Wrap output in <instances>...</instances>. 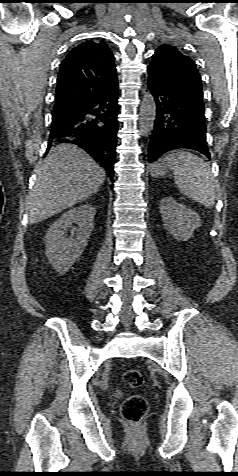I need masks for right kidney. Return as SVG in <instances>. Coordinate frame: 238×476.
<instances>
[{"label": "right kidney", "mask_w": 238, "mask_h": 476, "mask_svg": "<svg viewBox=\"0 0 238 476\" xmlns=\"http://www.w3.org/2000/svg\"><path fill=\"white\" fill-rule=\"evenodd\" d=\"M96 208L84 204L65 212L49 228L46 241V255L53 268L61 275L79 259L91 236ZM72 224L78 228L72 227ZM72 228L71 236L65 235Z\"/></svg>", "instance_id": "1"}]
</instances>
